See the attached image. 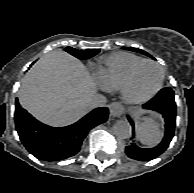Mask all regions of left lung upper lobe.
<instances>
[{
  "instance_id": "1",
  "label": "left lung upper lobe",
  "mask_w": 194,
  "mask_h": 193,
  "mask_svg": "<svg viewBox=\"0 0 194 193\" xmlns=\"http://www.w3.org/2000/svg\"><path fill=\"white\" fill-rule=\"evenodd\" d=\"M125 49H127V50H131V51H135V52H139V53H142V54L147 55V56H149V57H151V58H152V56H151L150 54L146 53V52H145V51H143V50L136 49V48H126V47H125Z\"/></svg>"
}]
</instances>
